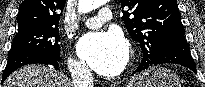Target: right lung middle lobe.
Here are the masks:
<instances>
[{
    "mask_svg": "<svg viewBox=\"0 0 205 87\" xmlns=\"http://www.w3.org/2000/svg\"><path fill=\"white\" fill-rule=\"evenodd\" d=\"M59 29L43 28L19 31L9 53L34 52L60 61Z\"/></svg>",
    "mask_w": 205,
    "mask_h": 87,
    "instance_id": "dd1d6c3e",
    "label": "right lung middle lobe"
}]
</instances>
